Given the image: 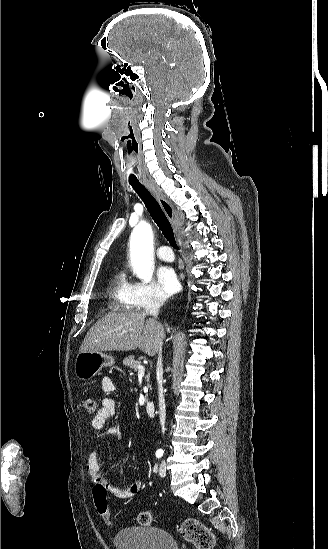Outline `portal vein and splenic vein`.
<instances>
[{"label":"portal vein and splenic vein","mask_w":328,"mask_h":549,"mask_svg":"<svg viewBox=\"0 0 328 549\" xmlns=\"http://www.w3.org/2000/svg\"><path fill=\"white\" fill-rule=\"evenodd\" d=\"M138 371L139 373H144L145 369L144 367H142V365H140V367H138Z\"/></svg>","instance_id":"obj_1"}]
</instances>
